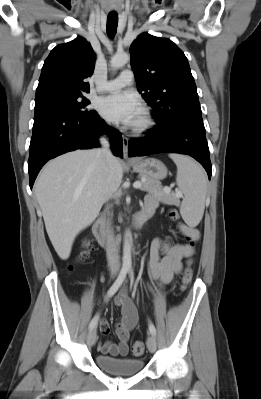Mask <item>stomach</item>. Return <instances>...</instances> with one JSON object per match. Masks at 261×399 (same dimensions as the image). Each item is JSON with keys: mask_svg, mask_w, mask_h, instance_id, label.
Segmentation results:
<instances>
[{"mask_svg": "<svg viewBox=\"0 0 261 399\" xmlns=\"http://www.w3.org/2000/svg\"><path fill=\"white\" fill-rule=\"evenodd\" d=\"M134 171L142 176L161 180L167 176V167L163 162L155 158L136 159L131 162Z\"/></svg>", "mask_w": 261, "mask_h": 399, "instance_id": "stomach-1", "label": "stomach"}]
</instances>
